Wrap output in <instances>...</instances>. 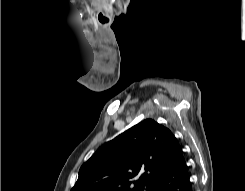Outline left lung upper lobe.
Instances as JSON below:
<instances>
[{"mask_svg": "<svg viewBox=\"0 0 245 191\" xmlns=\"http://www.w3.org/2000/svg\"><path fill=\"white\" fill-rule=\"evenodd\" d=\"M181 152L168 128L143 120L102 145L81 166L71 191H152Z\"/></svg>", "mask_w": 245, "mask_h": 191, "instance_id": "left-lung-upper-lobe-1", "label": "left lung upper lobe"}]
</instances>
